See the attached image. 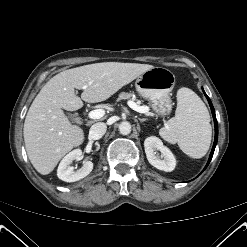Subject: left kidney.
I'll return each mask as SVG.
<instances>
[{
  "mask_svg": "<svg viewBox=\"0 0 247 247\" xmlns=\"http://www.w3.org/2000/svg\"><path fill=\"white\" fill-rule=\"evenodd\" d=\"M144 148L149 163L159 170L171 172L175 169L176 159L169 148L163 145L161 139L150 136L144 141ZM159 151L161 156H159Z\"/></svg>",
  "mask_w": 247,
  "mask_h": 247,
  "instance_id": "left-kidney-1",
  "label": "left kidney"
}]
</instances>
